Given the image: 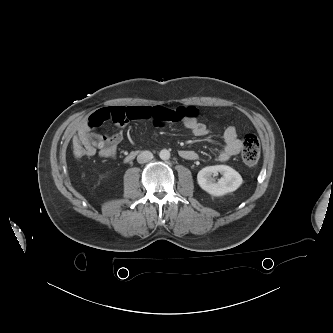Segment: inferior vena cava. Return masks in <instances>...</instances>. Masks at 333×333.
I'll return each instance as SVG.
<instances>
[{
  "label": "inferior vena cava",
  "mask_w": 333,
  "mask_h": 333,
  "mask_svg": "<svg viewBox=\"0 0 333 333\" xmlns=\"http://www.w3.org/2000/svg\"><path fill=\"white\" fill-rule=\"evenodd\" d=\"M153 154L150 151H142L138 156H137V161L140 164L149 162L152 160Z\"/></svg>",
  "instance_id": "602c4592"
}]
</instances>
